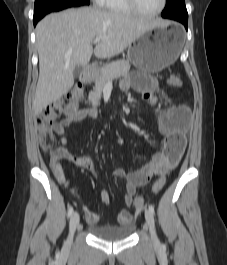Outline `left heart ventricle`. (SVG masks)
Here are the masks:
<instances>
[{
    "label": "left heart ventricle",
    "mask_w": 227,
    "mask_h": 265,
    "mask_svg": "<svg viewBox=\"0 0 227 265\" xmlns=\"http://www.w3.org/2000/svg\"><path fill=\"white\" fill-rule=\"evenodd\" d=\"M138 7L146 13L155 12L161 6L162 0H136Z\"/></svg>",
    "instance_id": "left-heart-ventricle-1"
}]
</instances>
